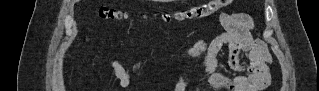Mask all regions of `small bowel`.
Segmentation results:
<instances>
[{
	"label": "small bowel",
	"mask_w": 319,
	"mask_h": 91,
	"mask_svg": "<svg viewBox=\"0 0 319 91\" xmlns=\"http://www.w3.org/2000/svg\"><path fill=\"white\" fill-rule=\"evenodd\" d=\"M221 23L226 31L211 42L196 38L192 46L185 51V57L197 58L201 61L206 82L222 91H260L270 82V73L267 59L269 56L265 44L254 38L252 31L255 28L253 20L244 14H222ZM228 47V66L236 72H248L244 75L227 76L221 71L217 55L223 47ZM246 54L248 64L241 62V55ZM144 62L134 63L126 68L118 61L110 63L119 84L128 88L132 82V73Z\"/></svg>",
	"instance_id": "1"
}]
</instances>
